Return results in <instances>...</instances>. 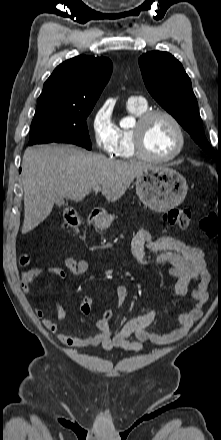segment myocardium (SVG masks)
<instances>
[{"mask_svg": "<svg viewBox=\"0 0 221 440\" xmlns=\"http://www.w3.org/2000/svg\"><path fill=\"white\" fill-rule=\"evenodd\" d=\"M156 116L166 117L173 124L178 135V144L176 149L170 155L165 157H156L151 155L146 150L143 141V131L146 124ZM131 132H132L133 147L136 156L146 161L156 162V163H166L172 161L182 153L185 147L186 138L181 123L171 112L165 109L148 110L142 113L141 115H139L136 121V125L131 130Z\"/></svg>", "mask_w": 221, "mask_h": 440, "instance_id": "f54148a6", "label": "myocardium"}]
</instances>
